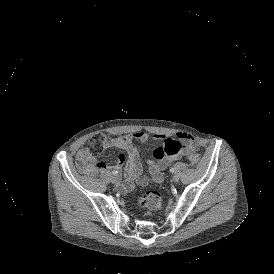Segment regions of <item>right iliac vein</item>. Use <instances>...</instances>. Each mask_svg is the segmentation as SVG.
<instances>
[{
  "label": "right iliac vein",
  "instance_id": "1",
  "mask_svg": "<svg viewBox=\"0 0 274 274\" xmlns=\"http://www.w3.org/2000/svg\"><path fill=\"white\" fill-rule=\"evenodd\" d=\"M111 182H112L113 184H116V183H117V178H116V177H112Z\"/></svg>",
  "mask_w": 274,
  "mask_h": 274
}]
</instances>
